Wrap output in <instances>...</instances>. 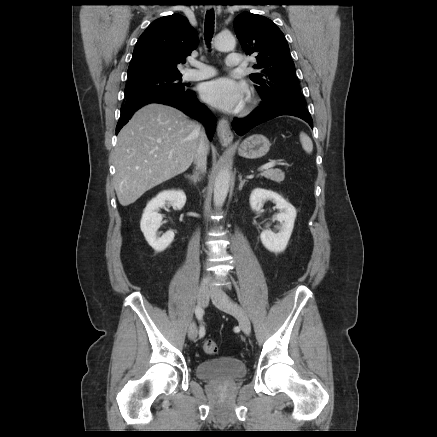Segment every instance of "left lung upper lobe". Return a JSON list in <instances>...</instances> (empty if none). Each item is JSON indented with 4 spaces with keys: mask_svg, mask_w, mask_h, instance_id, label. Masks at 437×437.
Segmentation results:
<instances>
[{
    "mask_svg": "<svg viewBox=\"0 0 437 437\" xmlns=\"http://www.w3.org/2000/svg\"><path fill=\"white\" fill-rule=\"evenodd\" d=\"M234 29L246 54L256 55V73L250 74L263 101L305 106L295 75V65L282 31L270 19L250 12L238 15Z\"/></svg>",
    "mask_w": 437,
    "mask_h": 437,
    "instance_id": "1",
    "label": "left lung upper lobe"
}]
</instances>
